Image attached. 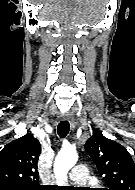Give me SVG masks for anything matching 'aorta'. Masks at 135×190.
<instances>
[{
	"label": "aorta",
	"mask_w": 135,
	"mask_h": 190,
	"mask_svg": "<svg viewBox=\"0 0 135 190\" xmlns=\"http://www.w3.org/2000/svg\"><path fill=\"white\" fill-rule=\"evenodd\" d=\"M78 154L74 149H62L56 156L54 162V173L58 184L66 183L68 171L76 164Z\"/></svg>",
	"instance_id": "762f6f07"
}]
</instances>
